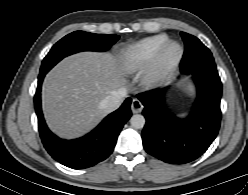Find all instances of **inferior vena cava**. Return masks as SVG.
Wrapping results in <instances>:
<instances>
[{
    "label": "inferior vena cava",
    "instance_id": "602c4592",
    "mask_svg": "<svg viewBox=\"0 0 248 195\" xmlns=\"http://www.w3.org/2000/svg\"><path fill=\"white\" fill-rule=\"evenodd\" d=\"M127 91L125 88H120L113 91L111 95L106 96L100 103L99 108L106 113L116 110L123 99L126 97Z\"/></svg>",
    "mask_w": 248,
    "mask_h": 195
}]
</instances>
